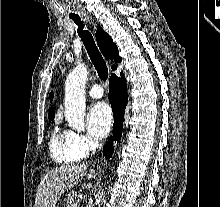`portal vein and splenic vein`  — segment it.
Listing matches in <instances>:
<instances>
[{
  "instance_id": "1",
  "label": "portal vein and splenic vein",
  "mask_w": 220,
  "mask_h": 207,
  "mask_svg": "<svg viewBox=\"0 0 220 207\" xmlns=\"http://www.w3.org/2000/svg\"><path fill=\"white\" fill-rule=\"evenodd\" d=\"M73 207H79L77 204H74Z\"/></svg>"
}]
</instances>
